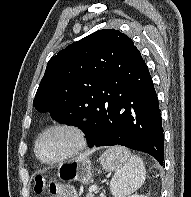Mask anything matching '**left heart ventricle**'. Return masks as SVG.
Returning <instances> with one entry per match:
<instances>
[{
    "label": "left heart ventricle",
    "instance_id": "left-heart-ventricle-1",
    "mask_svg": "<svg viewBox=\"0 0 191 197\" xmlns=\"http://www.w3.org/2000/svg\"><path fill=\"white\" fill-rule=\"evenodd\" d=\"M75 145L74 135L66 130H53L40 141L39 153L42 159L50 161L69 152Z\"/></svg>",
    "mask_w": 191,
    "mask_h": 197
}]
</instances>
